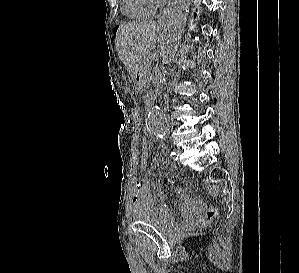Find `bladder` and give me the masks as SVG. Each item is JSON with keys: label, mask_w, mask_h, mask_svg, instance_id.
Here are the masks:
<instances>
[{"label": "bladder", "mask_w": 299, "mask_h": 273, "mask_svg": "<svg viewBox=\"0 0 299 273\" xmlns=\"http://www.w3.org/2000/svg\"><path fill=\"white\" fill-rule=\"evenodd\" d=\"M133 219L136 223L151 225L160 230L165 229L170 224L168 218L160 215L154 209L135 211Z\"/></svg>", "instance_id": "1"}]
</instances>
